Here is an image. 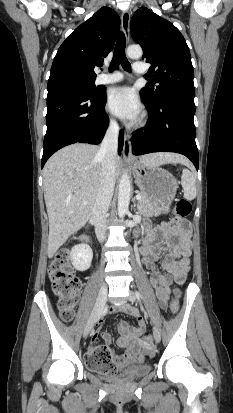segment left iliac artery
<instances>
[{
	"label": "left iliac artery",
	"instance_id": "1",
	"mask_svg": "<svg viewBox=\"0 0 233 413\" xmlns=\"http://www.w3.org/2000/svg\"><path fill=\"white\" fill-rule=\"evenodd\" d=\"M135 294H136L137 298L142 299V296H141V294H140L139 292L136 291Z\"/></svg>",
	"mask_w": 233,
	"mask_h": 413
}]
</instances>
